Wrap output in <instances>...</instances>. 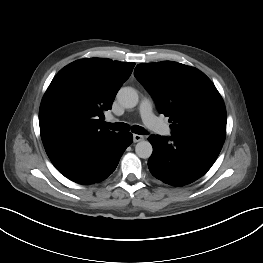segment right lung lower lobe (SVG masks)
I'll list each match as a JSON object with an SVG mask.
<instances>
[{"label": "right lung lower lobe", "mask_w": 263, "mask_h": 263, "mask_svg": "<svg viewBox=\"0 0 263 263\" xmlns=\"http://www.w3.org/2000/svg\"><path fill=\"white\" fill-rule=\"evenodd\" d=\"M132 140L131 133H116L102 141L72 147L50 160L60 173L76 183H99L114 172Z\"/></svg>", "instance_id": "obj_1"}]
</instances>
